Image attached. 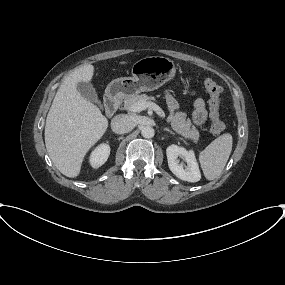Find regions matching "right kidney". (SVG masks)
I'll use <instances>...</instances> for the list:
<instances>
[{
	"mask_svg": "<svg viewBox=\"0 0 285 285\" xmlns=\"http://www.w3.org/2000/svg\"><path fill=\"white\" fill-rule=\"evenodd\" d=\"M110 155V146L108 144H100L97 146L90 155V164L93 168H99L108 159Z\"/></svg>",
	"mask_w": 285,
	"mask_h": 285,
	"instance_id": "ca27d5eb",
	"label": "right kidney"
}]
</instances>
